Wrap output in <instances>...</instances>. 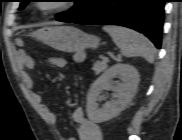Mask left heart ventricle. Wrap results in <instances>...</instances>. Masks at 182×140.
Segmentation results:
<instances>
[{"label": "left heart ventricle", "mask_w": 182, "mask_h": 140, "mask_svg": "<svg viewBox=\"0 0 182 140\" xmlns=\"http://www.w3.org/2000/svg\"><path fill=\"white\" fill-rule=\"evenodd\" d=\"M47 3H52V4H53V5H49L48 7H55V6H56L55 4H56L57 2H44V4H47Z\"/></svg>", "instance_id": "left-heart-ventricle-1"}]
</instances>
